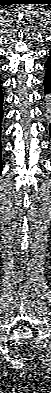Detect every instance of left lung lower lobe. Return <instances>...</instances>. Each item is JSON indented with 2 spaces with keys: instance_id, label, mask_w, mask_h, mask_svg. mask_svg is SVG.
<instances>
[{
  "instance_id": "left-lung-lower-lobe-1",
  "label": "left lung lower lobe",
  "mask_w": 51,
  "mask_h": 393,
  "mask_svg": "<svg viewBox=\"0 0 51 393\" xmlns=\"http://www.w3.org/2000/svg\"><path fill=\"white\" fill-rule=\"evenodd\" d=\"M45 93L51 98V52L49 59L45 63V76H44ZM50 135H51V124H50Z\"/></svg>"
}]
</instances>
